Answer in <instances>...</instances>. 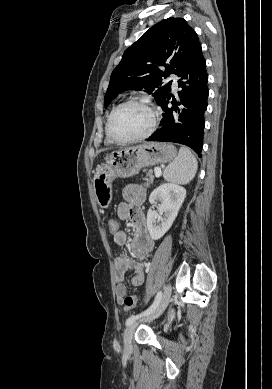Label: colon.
<instances>
[{
  "mask_svg": "<svg viewBox=\"0 0 272 389\" xmlns=\"http://www.w3.org/2000/svg\"><path fill=\"white\" fill-rule=\"evenodd\" d=\"M120 224L116 218H111L108 221V229L112 235H115L118 231H120ZM124 305L127 308H135L138 304L137 297L134 295H128L124 298Z\"/></svg>",
  "mask_w": 272,
  "mask_h": 389,
  "instance_id": "obj_1",
  "label": "colon"
}]
</instances>
